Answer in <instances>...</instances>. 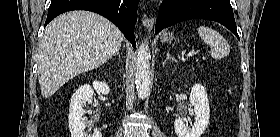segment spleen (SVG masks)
Listing matches in <instances>:
<instances>
[{
  "label": "spleen",
  "mask_w": 280,
  "mask_h": 137,
  "mask_svg": "<svg viewBox=\"0 0 280 137\" xmlns=\"http://www.w3.org/2000/svg\"><path fill=\"white\" fill-rule=\"evenodd\" d=\"M198 34L201 39L210 45L211 56L214 59H223L230 53V46L225 38L215 29L207 26H200Z\"/></svg>",
  "instance_id": "obj_1"
}]
</instances>
